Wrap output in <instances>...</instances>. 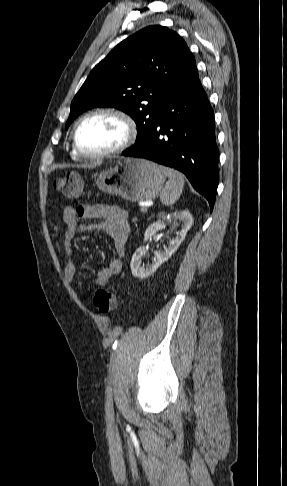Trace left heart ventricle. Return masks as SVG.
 <instances>
[{
	"mask_svg": "<svg viewBox=\"0 0 287 486\" xmlns=\"http://www.w3.org/2000/svg\"><path fill=\"white\" fill-rule=\"evenodd\" d=\"M125 127L116 117L97 115L87 119L77 133L79 146L87 152H102L122 142Z\"/></svg>",
	"mask_w": 287,
	"mask_h": 486,
	"instance_id": "1",
	"label": "left heart ventricle"
}]
</instances>
